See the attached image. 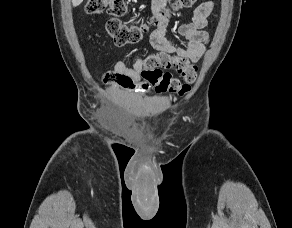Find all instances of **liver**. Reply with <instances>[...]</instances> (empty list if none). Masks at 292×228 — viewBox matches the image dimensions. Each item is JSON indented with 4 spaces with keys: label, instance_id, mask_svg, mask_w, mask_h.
Here are the masks:
<instances>
[{
    "label": "liver",
    "instance_id": "obj_1",
    "mask_svg": "<svg viewBox=\"0 0 292 228\" xmlns=\"http://www.w3.org/2000/svg\"><path fill=\"white\" fill-rule=\"evenodd\" d=\"M83 2V0H72V4L74 7L80 5Z\"/></svg>",
    "mask_w": 292,
    "mask_h": 228
}]
</instances>
